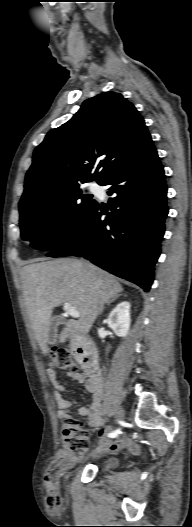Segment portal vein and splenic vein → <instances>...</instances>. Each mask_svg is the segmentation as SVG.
I'll return each mask as SVG.
<instances>
[{"instance_id":"18ae733b","label":"portal vein and splenic vein","mask_w":192,"mask_h":527,"mask_svg":"<svg viewBox=\"0 0 192 527\" xmlns=\"http://www.w3.org/2000/svg\"><path fill=\"white\" fill-rule=\"evenodd\" d=\"M63 308L67 315H70L71 317H74V318L80 317V313L71 304L65 302L63 304Z\"/></svg>"}]
</instances>
